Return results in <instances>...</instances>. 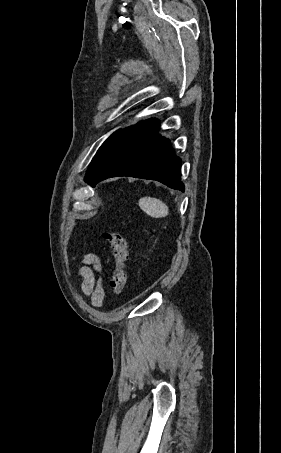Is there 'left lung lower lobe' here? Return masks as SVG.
Returning <instances> with one entry per match:
<instances>
[{
    "instance_id": "obj_1",
    "label": "left lung lower lobe",
    "mask_w": 281,
    "mask_h": 453,
    "mask_svg": "<svg viewBox=\"0 0 281 453\" xmlns=\"http://www.w3.org/2000/svg\"><path fill=\"white\" fill-rule=\"evenodd\" d=\"M156 119L141 121L114 132L91 161L85 181L94 186L115 176H132L158 180L183 191L181 159L173 152L170 141L157 134Z\"/></svg>"
}]
</instances>
